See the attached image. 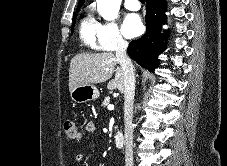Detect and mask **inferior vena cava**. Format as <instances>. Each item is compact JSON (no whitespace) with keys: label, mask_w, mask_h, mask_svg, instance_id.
Listing matches in <instances>:
<instances>
[{"label":"inferior vena cava","mask_w":227,"mask_h":166,"mask_svg":"<svg viewBox=\"0 0 227 166\" xmlns=\"http://www.w3.org/2000/svg\"><path fill=\"white\" fill-rule=\"evenodd\" d=\"M127 41L119 38L116 46V58L124 75V122H125V166H133V105L135 95L134 66L127 56Z\"/></svg>","instance_id":"602c4592"}]
</instances>
